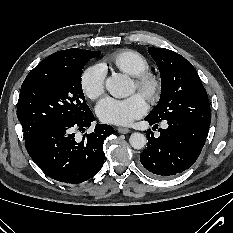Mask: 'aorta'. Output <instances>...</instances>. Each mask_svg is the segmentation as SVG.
<instances>
[{
  "mask_svg": "<svg viewBox=\"0 0 233 233\" xmlns=\"http://www.w3.org/2000/svg\"><path fill=\"white\" fill-rule=\"evenodd\" d=\"M106 89L114 97H126L132 92L130 78L120 73H114L106 80ZM130 145L137 150L145 147L147 138L142 133H132L129 138Z\"/></svg>",
  "mask_w": 233,
  "mask_h": 233,
  "instance_id": "1",
  "label": "aorta"
}]
</instances>
